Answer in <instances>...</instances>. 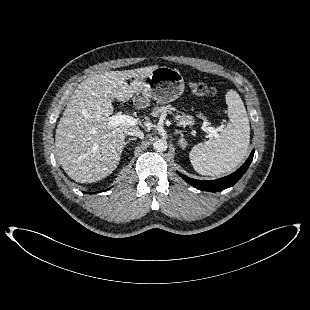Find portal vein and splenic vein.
Listing matches in <instances>:
<instances>
[{
    "label": "portal vein and splenic vein",
    "mask_w": 310,
    "mask_h": 310,
    "mask_svg": "<svg viewBox=\"0 0 310 310\" xmlns=\"http://www.w3.org/2000/svg\"><path fill=\"white\" fill-rule=\"evenodd\" d=\"M137 123V120L129 115L125 114H117L110 118L109 125L115 126L117 124H129V125H135ZM204 131H206L209 134V138L212 139L213 137H216L218 135V129H215L214 127H205L203 128Z\"/></svg>",
    "instance_id": "obj_1"
}]
</instances>
